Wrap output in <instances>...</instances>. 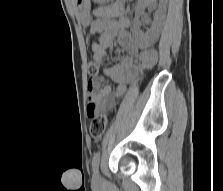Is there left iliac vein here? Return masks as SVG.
Listing matches in <instances>:
<instances>
[{"label": "left iliac vein", "mask_w": 223, "mask_h": 191, "mask_svg": "<svg viewBox=\"0 0 223 191\" xmlns=\"http://www.w3.org/2000/svg\"><path fill=\"white\" fill-rule=\"evenodd\" d=\"M92 179H93L94 182L99 181L100 174H99L98 168L94 169V172H93V175H92Z\"/></svg>", "instance_id": "1"}]
</instances>
